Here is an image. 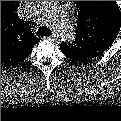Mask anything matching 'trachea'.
Masks as SVG:
<instances>
[{"mask_svg":"<svg viewBox=\"0 0 121 121\" xmlns=\"http://www.w3.org/2000/svg\"><path fill=\"white\" fill-rule=\"evenodd\" d=\"M43 30H44L43 28H41V29L39 30V31H40V34L43 32Z\"/></svg>","mask_w":121,"mask_h":121,"instance_id":"obj_1","label":"trachea"}]
</instances>
